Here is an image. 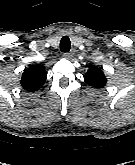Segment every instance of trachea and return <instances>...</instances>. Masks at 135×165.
<instances>
[{
    "instance_id": "3493384b",
    "label": "trachea",
    "mask_w": 135,
    "mask_h": 165,
    "mask_svg": "<svg viewBox=\"0 0 135 165\" xmlns=\"http://www.w3.org/2000/svg\"><path fill=\"white\" fill-rule=\"evenodd\" d=\"M71 48V42L69 37L64 36L60 41V50L61 52H69Z\"/></svg>"
}]
</instances>
